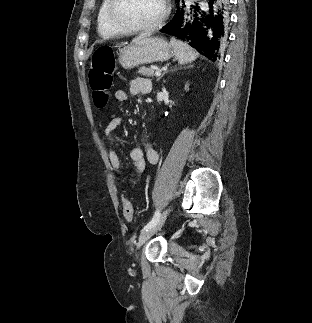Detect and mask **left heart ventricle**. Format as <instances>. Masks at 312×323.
Listing matches in <instances>:
<instances>
[{"instance_id": "obj_1", "label": "left heart ventricle", "mask_w": 312, "mask_h": 323, "mask_svg": "<svg viewBox=\"0 0 312 323\" xmlns=\"http://www.w3.org/2000/svg\"><path fill=\"white\" fill-rule=\"evenodd\" d=\"M116 18H127L128 22H149L156 14H163L162 0H116Z\"/></svg>"}]
</instances>
